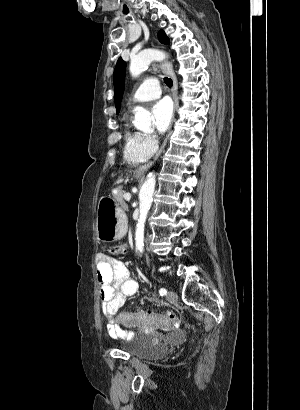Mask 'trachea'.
<instances>
[{
	"label": "trachea",
	"mask_w": 300,
	"mask_h": 410,
	"mask_svg": "<svg viewBox=\"0 0 300 410\" xmlns=\"http://www.w3.org/2000/svg\"><path fill=\"white\" fill-rule=\"evenodd\" d=\"M164 82H165V84H166L168 87H172V86H173V81H172V79H170V78H168V77H165V78H164Z\"/></svg>",
	"instance_id": "1"
}]
</instances>
